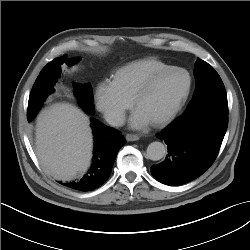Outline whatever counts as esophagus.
Returning a JSON list of instances; mask_svg holds the SVG:
<instances>
[{"label":"esophagus","mask_w":250,"mask_h":250,"mask_svg":"<svg viewBox=\"0 0 250 250\" xmlns=\"http://www.w3.org/2000/svg\"><path fill=\"white\" fill-rule=\"evenodd\" d=\"M126 140L127 141H137V140H139V136L136 134H127Z\"/></svg>","instance_id":"esophagus-1"}]
</instances>
